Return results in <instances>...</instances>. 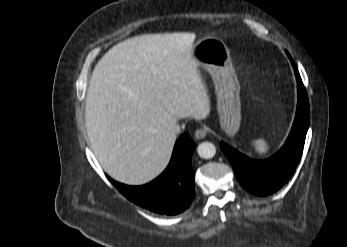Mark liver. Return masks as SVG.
Instances as JSON below:
<instances>
[{
  "instance_id": "1",
  "label": "liver",
  "mask_w": 347,
  "mask_h": 247,
  "mask_svg": "<svg viewBox=\"0 0 347 247\" xmlns=\"http://www.w3.org/2000/svg\"><path fill=\"white\" fill-rule=\"evenodd\" d=\"M194 33L144 34L96 64L85 126L93 153L115 180L142 185L167 167L181 118L204 119L210 98L192 58Z\"/></svg>"
}]
</instances>
